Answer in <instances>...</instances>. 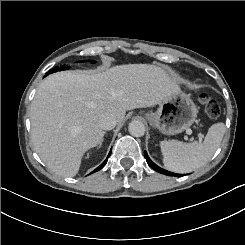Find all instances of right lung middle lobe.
<instances>
[{
	"instance_id": "obj_1",
	"label": "right lung middle lobe",
	"mask_w": 245,
	"mask_h": 245,
	"mask_svg": "<svg viewBox=\"0 0 245 245\" xmlns=\"http://www.w3.org/2000/svg\"><path fill=\"white\" fill-rule=\"evenodd\" d=\"M67 68H68V67H55V68H53L52 70H50L46 75H48V74H50V73H53V72L65 70V69H67Z\"/></svg>"
}]
</instances>
